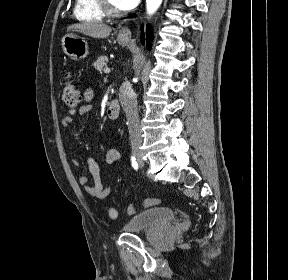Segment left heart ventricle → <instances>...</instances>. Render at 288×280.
<instances>
[{"label": "left heart ventricle", "mask_w": 288, "mask_h": 280, "mask_svg": "<svg viewBox=\"0 0 288 280\" xmlns=\"http://www.w3.org/2000/svg\"><path fill=\"white\" fill-rule=\"evenodd\" d=\"M110 2L112 3L113 6L117 7L116 3H115V0H110Z\"/></svg>", "instance_id": "1"}]
</instances>
